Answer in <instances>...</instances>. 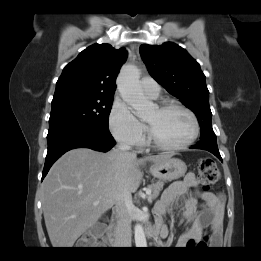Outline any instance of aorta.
I'll return each mask as SVG.
<instances>
[{
    "label": "aorta",
    "instance_id": "1",
    "mask_svg": "<svg viewBox=\"0 0 261 261\" xmlns=\"http://www.w3.org/2000/svg\"><path fill=\"white\" fill-rule=\"evenodd\" d=\"M140 72L135 65H124L119 73L117 84L122 99L129 104L136 115H142L148 111L152 102L143 94L139 84ZM135 244L137 248H146L147 241L141 224L134 228Z\"/></svg>",
    "mask_w": 261,
    "mask_h": 261
}]
</instances>
